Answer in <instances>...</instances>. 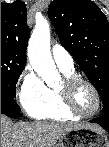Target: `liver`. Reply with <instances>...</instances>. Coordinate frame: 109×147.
Listing matches in <instances>:
<instances>
[{"instance_id": "1", "label": "liver", "mask_w": 109, "mask_h": 147, "mask_svg": "<svg viewBox=\"0 0 109 147\" xmlns=\"http://www.w3.org/2000/svg\"><path fill=\"white\" fill-rule=\"evenodd\" d=\"M90 128L104 131L97 124L53 123L44 121L19 122L1 116V147H56L57 142L70 130Z\"/></svg>"}]
</instances>
